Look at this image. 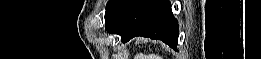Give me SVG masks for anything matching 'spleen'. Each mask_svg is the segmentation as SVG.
<instances>
[{"label": "spleen", "mask_w": 261, "mask_h": 59, "mask_svg": "<svg viewBox=\"0 0 261 59\" xmlns=\"http://www.w3.org/2000/svg\"><path fill=\"white\" fill-rule=\"evenodd\" d=\"M151 57H153V58H151V59H162V57H160V56H158V55H153V56H151Z\"/></svg>", "instance_id": "spleen-1"}]
</instances>
